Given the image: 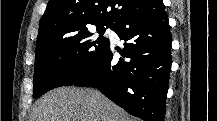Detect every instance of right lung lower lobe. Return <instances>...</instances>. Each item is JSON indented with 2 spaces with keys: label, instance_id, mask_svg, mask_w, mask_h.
Segmentation results:
<instances>
[{
  "label": "right lung lower lobe",
  "instance_id": "98d812e1",
  "mask_svg": "<svg viewBox=\"0 0 217 121\" xmlns=\"http://www.w3.org/2000/svg\"><path fill=\"white\" fill-rule=\"evenodd\" d=\"M113 31L124 43L116 61L110 44L99 61L73 85L94 87L133 116L163 121L169 73L171 33L162 0H144L123 16Z\"/></svg>",
  "mask_w": 217,
  "mask_h": 121
}]
</instances>
